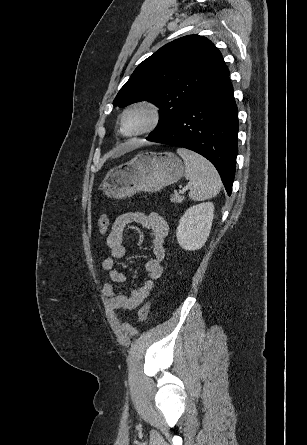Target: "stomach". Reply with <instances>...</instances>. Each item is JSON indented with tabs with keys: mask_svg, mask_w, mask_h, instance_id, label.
Listing matches in <instances>:
<instances>
[{
	"mask_svg": "<svg viewBox=\"0 0 307 445\" xmlns=\"http://www.w3.org/2000/svg\"><path fill=\"white\" fill-rule=\"evenodd\" d=\"M184 168L174 152H138L128 162L108 170L101 190L114 198H126L136 192H157L180 180Z\"/></svg>",
	"mask_w": 307,
	"mask_h": 445,
	"instance_id": "obj_1",
	"label": "stomach"
}]
</instances>
